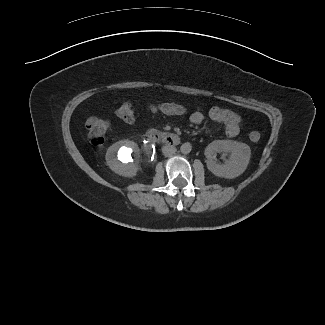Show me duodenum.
Instances as JSON below:
<instances>
[{"mask_svg":"<svg viewBox=\"0 0 325 325\" xmlns=\"http://www.w3.org/2000/svg\"><path fill=\"white\" fill-rule=\"evenodd\" d=\"M145 139L148 141L163 143L170 146H175L180 141V137L177 134L162 133L153 130L146 133Z\"/></svg>","mask_w":325,"mask_h":325,"instance_id":"1","label":"duodenum"}]
</instances>
